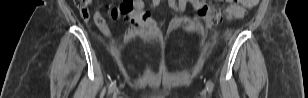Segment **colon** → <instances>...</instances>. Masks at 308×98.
I'll list each match as a JSON object with an SVG mask.
<instances>
[{
  "label": "colon",
  "mask_w": 308,
  "mask_h": 98,
  "mask_svg": "<svg viewBox=\"0 0 308 98\" xmlns=\"http://www.w3.org/2000/svg\"><path fill=\"white\" fill-rule=\"evenodd\" d=\"M259 0H229L223 6H215L212 4L205 5L198 9L196 17L202 18L208 26L218 23L221 19L241 18L245 14L246 8L255 6ZM75 4L80 10L84 18H88L90 13L91 0H75ZM153 9H130L123 3L112 11V15L124 16V21L129 22L130 26L135 25L137 31H145L149 26L151 17L154 15ZM145 22V24L141 23ZM149 26V27H147Z\"/></svg>",
  "instance_id": "5ec220e1"
}]
</instances>
